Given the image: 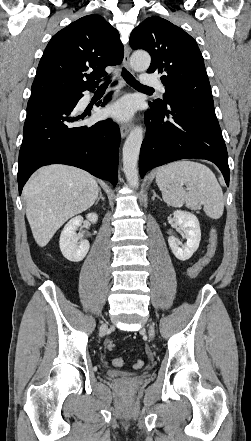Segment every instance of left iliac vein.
<instances>
[{"mask_svg":"<svg viewBox=\"0 0 251 441\" xmlns=\"http://www.w3.org/2000/svg\"><path fill=\"white\" fill-rule=\"evenodd\" d=\"M148 334H149V338L152 340L155 336V329L153 324H150L148 329Z\"/></svg>","mask_w":251,"mask_h":441,"instance_id":"obj_1","label":"left iliac vein"}]
</instances>
